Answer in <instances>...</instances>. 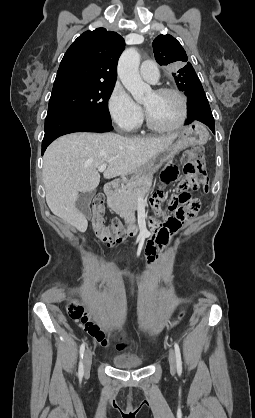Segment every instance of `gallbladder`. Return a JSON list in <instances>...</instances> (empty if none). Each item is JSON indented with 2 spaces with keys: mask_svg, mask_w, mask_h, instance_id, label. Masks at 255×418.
I'll return each mask as SVG.
<instances>
[{
  "mask_svg": "<svg viewBox=\"0 0 255 418\" xmlns=\"http://www.w3.org/2000/svg\"><path fill=\"white\" fill-rule=\"evenodd\" d=\"M95 190L82 192L79 194L78 199L76 201L77 209L86 217L90 216V203L94 197Z\"/></svg>",
  "mask_w": 255,
  "mask_h": 418,
  "instance_id": "gallbladder-1",
  "label": "gallbladder"
}]
</instances>
